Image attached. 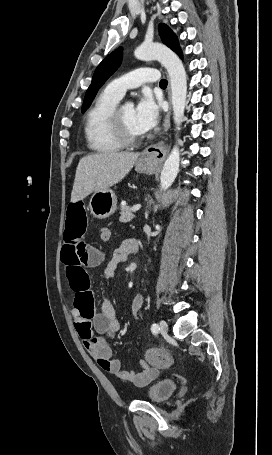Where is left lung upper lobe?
<instances>
[{
    "label": "left lung upper lobe",
    "instance_id": "left-lung-upper-lobe-1",
    "mask_svg": "<svg viewBox=\"0 0 272 455\" xmlns=\"http://www.w3.org/2000/svg\"><path fill=\"white\" fill-rule=\"evenodd\" d=\"M159 34L162 42L171 48L179 56L182 55L177 36L165 24L159 25ZM122 61V48H118L109 54L96 68L91 85L86 91L82 112H85L91 105L98 89L117 70Z\"/></svg>",
    "mask_w": 272,
    "mask_h": 455
}]
</instances>
